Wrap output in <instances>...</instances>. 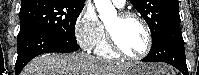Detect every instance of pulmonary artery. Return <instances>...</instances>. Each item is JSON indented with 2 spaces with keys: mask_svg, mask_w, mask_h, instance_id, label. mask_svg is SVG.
Here are the masks:
<instances>
[{
  "mask_svg": "<svg viewBox=\"0 0 199 75\" xmlns=\"http://www.w3.org/2000/svg\"><path fill=\"white\" fill-rule=\"evenodd\" d=\"M112 2L118 8H123L124 5H125V1L124 0H113Z\"/></svg>",
  "mask_w": 199,
  "mask_h": 75,
  "instance_id": "e3ab8cb5",
  "label": "pulmonary artery"
}]
</instances>
